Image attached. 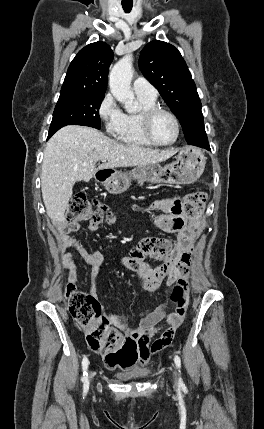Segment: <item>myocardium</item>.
Instances as JSON below:
<instances>
[{"label":"myocardium","instance_id":"obj_1","mask_svg":"<svg viewBox=\"0 0 264 429\" xmlns=\"http://www.w3.org/2000/svg\"><path fill=\"white\" fill-rule=\"evenodd\" d=\"M159 114L168 115L175 123L176 134H175L174 139L170 142H160L153 135L152 123H153L154 118ZM141 128H142V132H143L145 138L150 143H152L153 145H156V146L173 145L178 140V138L180 136V130H181L180 121H179L178 117L172 111H170L166 108L157 106V105L154 107L147 108V109L142 111V113H141Z\"/></svg>","mask_w":264,"mask_h":429}]
</instances>
